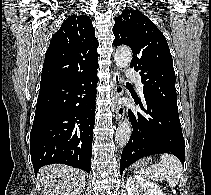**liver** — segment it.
Wrapping results in <instances>:
<instances>
[{
  "label": "liver",
  "mask_w": 211,
  "mask_h": 195,
  "mask_svg": "<svg viewBox=\"0 0 211 195\" xmlns=\"http://www.w3.org/2000/svg\"><path fill=\"white\" fill-rule=\"evenodd\" d=\"M43 195H80L85 184V173L62 164L42 167L39 172Z\"/></svg>",
  "instance_id": "obj_1"
}]
</instances>
